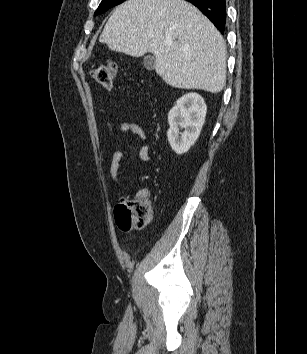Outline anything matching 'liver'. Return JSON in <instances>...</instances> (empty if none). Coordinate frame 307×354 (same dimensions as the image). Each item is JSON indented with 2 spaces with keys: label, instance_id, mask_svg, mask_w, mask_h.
<instances>
[{
  "label": "liver",
  "instance_id": "1",
  "mask_svg": "<svg viewBox=\"0 0 307 354\" xmlns=\"http://www.w3.org/2000/svg\"><path fill=\"white\" fill-rule=\"evenodd\" d=\"M112 51L155 56L156 73L170 86L222 91L226 46L216 27L184 0H127L99 38Z\"/></svg>",
  "mask_w": 307,
  "mask_h": 354
}]
</instances>
